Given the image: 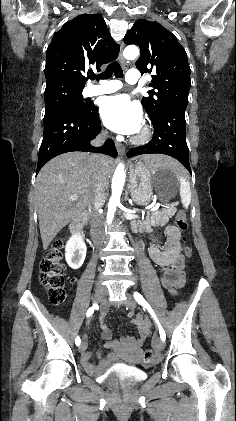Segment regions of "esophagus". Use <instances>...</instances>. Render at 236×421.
<instances>
[{"instance_id": "34e87169", "label": "esophagus", "mask_w": 236, "mask_h": 421, "mask_svg": "<svg viewBox=\"0 0 236 421\" xmlns=\"http://www.w3.org/2000/svg\"><path fill=\"white\" fill-rule=\"evenodd\" d=\"M123 48H124V43L122 42L121 43V46H120V51H119V57L118 58H119L121 64L123 65V68L125 70H127V68H128V62L125 60V58L123 56ZM116 148H117V151H118V153H119V155L121 157L125 155V147L121 143H116Z\"/></svg>"}]
</instances>
